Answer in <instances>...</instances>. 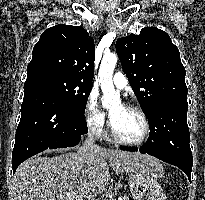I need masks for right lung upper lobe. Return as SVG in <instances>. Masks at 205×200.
<instances>
[{"instance_id": "obj_1", "label": "right lung upper lobe", "mask_w": 205, "mask_h": 200, "mask_svg": "<svg viewBox=\"0 0 205 200\" xmlns=\"http://www.w3.org/2000/svg\"><path fill=\"white\" fill-rule=\"evenodd\" d=\"M94 58V40L83 27L59 24L45 30L34 46L27 79L57 74L93 85Z\"/></svg>"}]
</instances>
